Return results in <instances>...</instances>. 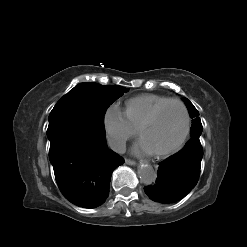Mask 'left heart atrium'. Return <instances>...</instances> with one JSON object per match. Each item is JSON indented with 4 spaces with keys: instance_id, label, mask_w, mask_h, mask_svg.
I'll list each match as a JSON object with an SVG mask.
<instances>
[{
    "instance_id": "1",
    "label": "left heart atrium",
    "mask_w": 247,
    "mask_h": 247,
    "mask_svg": "<svg viewBox=\"0 0 247 247\" xmlns=\"http://www.w3.org/2000/svg\"><path fill=\"white\" fill-rule=\"evenodd\" d=\"M133 153L137 155L153 153L143 140H140L134 147Z\"/></svg>"
}]
</instances>
